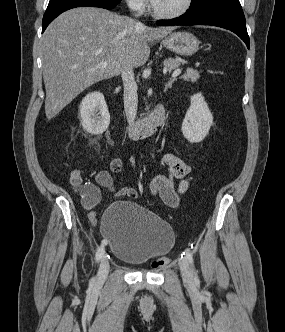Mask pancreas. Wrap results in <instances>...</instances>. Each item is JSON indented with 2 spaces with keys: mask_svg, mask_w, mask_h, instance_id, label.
Segmentation results:
<instances>
[{
  "mask_svg": "<svg viewBox=\"0 0 285 332\" xmlns=\"http://www.w3.org/2000/svg\"><path fill=\"white\" fill-rule=\"evenodd\" d=\"M164 66L170 71L176 69L180 65V60L168 58L164 60ZM182 79L186 81L196 82L199 78V72L193 69H187L186 73L182 75Z\"/></svg>",
  "mask_w": 285,
  "mask_h": 332,
  "instance_id": "cf45deb5",
  "label": "pancreas"
}]
</instances>
